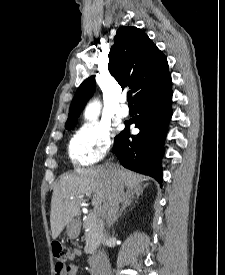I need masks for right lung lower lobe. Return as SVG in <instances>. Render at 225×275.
Returning <instances> with one entry per match:
<instances>
[{
    "label": "right lung lower lobe",
    "instance_id": "98d812e1",
    "mask_svg": "<svg viewBox=\"0 0 225 275\" xmlns=\"http://www.w3.org/2000/svg\"><path fill=\"white\" fill-rule=\"evenodd\" d=\"M171 85L169 74L158 87L134 100L138 114L125 124V129L115 137L113 147V152L124 167L152 176L160 183V159L163 156L167 124L172 115ZM133 123L140 130L137 135H129L130 124Z\"/></svg>",
    "mask_w": 225,
    "mask_h": 275
}]
</instances>
